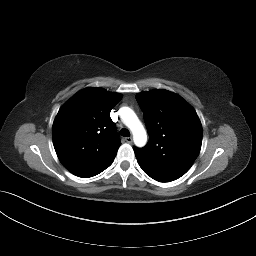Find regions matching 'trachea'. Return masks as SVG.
<instances>
[{
    "label": "trachea",
    "mask_w": 256,
    "mask_h": 256,
    "mask_svg": "<svg viewBox=\"0 0 256 256\" xmlns=\"http://www.w3.org/2000/svg\"><path fill=\"white\" fill-rule=\"evenodd\" d=\"M120 135L123 136V137H129V136H130V132H129L128 129L122 128V129L120 130Z\"/></svg>",
    "instance_id": "obj_1"
}]
</instances>
